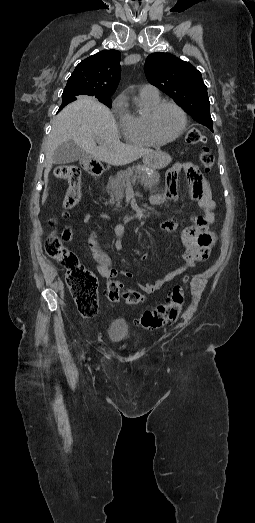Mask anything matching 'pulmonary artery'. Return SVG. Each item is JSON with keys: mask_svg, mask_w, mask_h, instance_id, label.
<instances>
[{"mask_svg": "<svg viewBox=\"0 0 255 523\" xmlns=\"http://www.w3.org/2000/svg\"><path fill=\"white\" fill-rule=\"evenodd\" d=\"M141 92L150 93V94H154V95L159 94L158 88L151 84L143 85V87L141 88Z\"/></svg>", "mask_w": 255, "mask_h": 523, "instance_id": "1", "label": "pulmonary artery"}]
</instances>
